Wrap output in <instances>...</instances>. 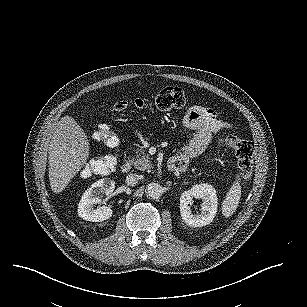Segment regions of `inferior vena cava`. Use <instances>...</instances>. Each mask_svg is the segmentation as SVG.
Returning <instances> with one entry per match:
<instances>
[{"instance_id":"602c4592","label":"inferior vena cava","mask_w":307,"mask_h":307,"mask_svg":"<svg viewBox=\"0 0 307 307\" xmlns=\"http://www.w3.org/2000/svg\"><path fill=\"white\" fill-rule=\"evenodd\" d=\"M126 183L129 186H135L138 183V175L135 173H130L126 177Z\"/></svg>"}]
</instances>
